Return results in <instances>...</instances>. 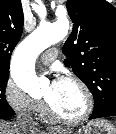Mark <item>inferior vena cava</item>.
Here are the masks:
<instances>
[{"label":"inferior vena cava","instance_id":"1","mask_svg":"<svg viewBox=\"0 0 116 134\" xmlns=\"http://www.w3.org/2000/svg\"><path fill=\"white\" fill-rule=\"evenodd\" d=\"M16 123V127L19 129L21 134H29V132H32L36 126V123L33 118L30 115L24 113H21L17 117Z\"/></svg>","mask_w":116,"mask_h":134}]
</instances>
